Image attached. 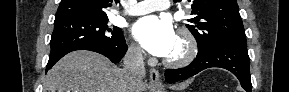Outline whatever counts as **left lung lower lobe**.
I'll list each match as a JSON object with an SVG mask.
<instances>
[{
  "instance_id": "1",
  "label": "left lung lower lobe",
  "mask_w": 289,
  "mask_h": 92,
  "mask_svg": "<svg viewBox=\"0 0 289 92\" xmlns=\"http://www.w3.org/2000/svg\"><path fill=\"white\" fill-rule=\"evenodd\" d=\"M250 59L246 42H223L210 48L197 57L185 68L166 70L165 79L174 83L192 77L210 67H220L231 71L247 91H252L249 71Z\"/></svg>"
}]
</instances>
